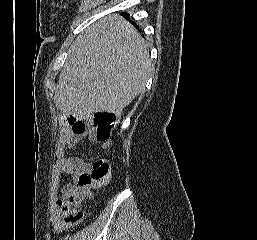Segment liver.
Segmentation results:
<instances>
[{"mask_svg":"<svg viewBox=\"0 0 257 240\" xmlns=\"http://www.w3.org/2000/svg\"><path fill=\"white\" fill-rule=\"evenodd\" d=\"M150 70L144 39L122 16L109 15L71 46L54 99L63 113L78 119L104 111L120 117L144 90Z\"/></svg>","mask_w":257,"mask_h":240,"instance_id":"6515ba94","label":"liver"}]
</instances>
